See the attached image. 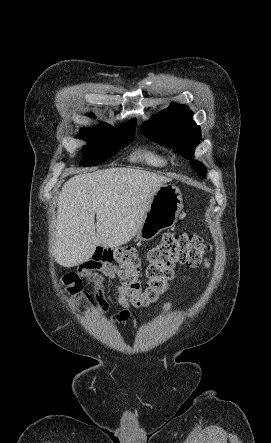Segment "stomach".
I'll return each mask as SVG.
<instances>
[{"label": "stomach", "mask_w": 271, "mask_h": 443, "mask_svg": "<svg viewBox=\"0 0 271 443\" xmlns=\"http://www.w3.org/2000/svg\"><path fill=\"white\" fill-rule=\"evenodd\" d=\"M183 208L182 194L177 186L164 184L151 198L144 220L135 233L139 241H148L158 235L162 229L173 227Z\"/></svg>", "instance_id": "obj_1"}]
</instances>
